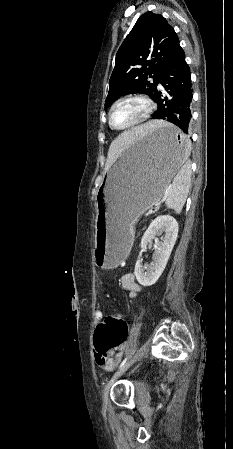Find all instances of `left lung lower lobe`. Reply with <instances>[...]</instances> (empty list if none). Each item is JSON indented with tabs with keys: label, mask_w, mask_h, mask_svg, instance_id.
I'll list each match as a JSON object with an SVG mask.
<instances>
[{
	"label": "left lung lower lobe",
	"mask_w": 233,
	"mask_h": 449,
	"mask_svg": "<svg viewBox=\"0 0 233 449\" xmlns=\"http://www.w3.org/2000/svg\"><path fill=\"white\" fill-rule=\"evenodd\" d=\"M158 83L164 87L167 95L163 97L158 89L154 92L152 98L157 102L158 110L153 119L171 122L182 131V135L163 133L160 140L171 149H182L189 143L187 135L191 128L193 98L191 72L183 49L161 73Z\"/></svg>",
	"instance_id": "1"
}]
</instances>
